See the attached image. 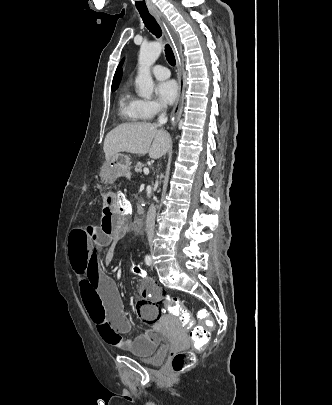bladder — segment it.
<instances>
[{
  "mask_svg": "<svg viewBox=\"0 0 332 405\" xmlns=\"http://www.w3.org/2000/svg\"><path fill=\"white\" fill-rule=\"evenodd\" d=\"M128 353L150 364L159 365L162 364L166 358L167 354L166 341L163 340L160 343L151 344L150 351L147 353L141 352L139 350H130L128 351Z\"/></svg>",
  "mask_w": 332,
  "mask_h": 405,
  "instance_id": "1",
  "label": "bladder"
}]
</instances>
